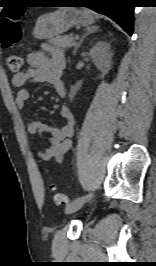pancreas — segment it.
Masks as SVG:
<instances>
[{"label":"pancreas","mask_w":156,"mask_h":266,"mask_svg":"<svg viewBox=\"0 0 156 266\" xmlns=\"http://www.w3.org/2000/svg\"><path fill=\"white\" fill-rule=\"evenodd\" d=\"M49 43L56 48L67 49L70 48L74 43V37L70 36H56L55 38H51Z\"/></svg>","instance_id":"cf45deb5"}]
</instances>
